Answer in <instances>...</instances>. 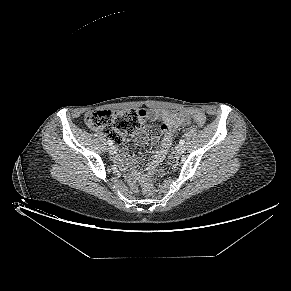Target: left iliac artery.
Instances as JSON below:
<instances>
[{"label": "left iliac artery", "mask_w": 291, "mask_h": 291, "mask_svg": "<svg viewBox=\"0 0 291 291\" xmlns=\"http://www.w3.org/2000/svg\"><path fill=\"white\" fill-rule=\"evenodd\" d=\"M179 143H180L181 145H184L185 140H184V139H181V140L179 141Z\"/></svg>", "instance_id": "1"}]
</instances>
